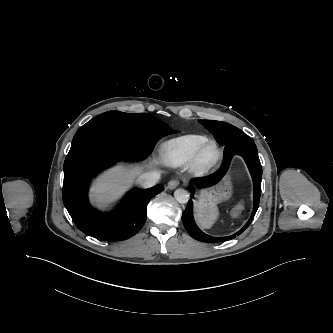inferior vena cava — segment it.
I'll use <instances>...</instances> for the list:
<instances>
[{"label":"inferior vena cava","instance_id":"inferior-vena-cava-1","mask_svg":"<svg viewBox=\"0 0 333 333\" xmlns=\"http://www.w3.org/2000/svg\"><path fill=\"white\" fill-rule=\"evenodd\" d=\"M159 178H160L159 172L156 171L148 172L139 176V178L137 179V183L143 188H149L154 186L156 182L159 180Z\"/></svg>","mask_w":333,"mask_h":333}]
</instances>
